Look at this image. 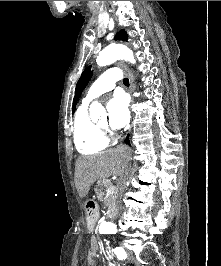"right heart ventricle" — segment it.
Wrapping results in <instances>:
<instances>
[{"label": "right heart ventricle", "mask_w": 221, "mask_h": 266, "mask_svg": "<svg viewBox=\"0 0 221 266\" xmlns=\"http://www.w3.org/2000/svg\"><path fill=\"white\" fill-rule=\"evenodd\" d=\"M73 139L77 151L84 155L98 154L108 146L107 137L90 119L86 105L82 104L76 111Z\"/></svg>", "instance_id": "right-heart-ventricle-1"}]
</instances>
